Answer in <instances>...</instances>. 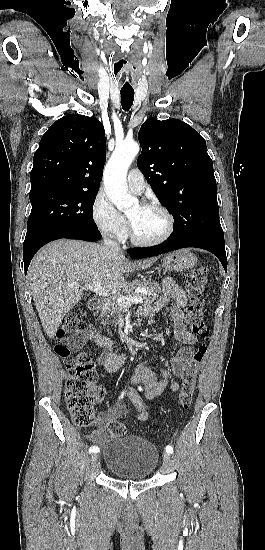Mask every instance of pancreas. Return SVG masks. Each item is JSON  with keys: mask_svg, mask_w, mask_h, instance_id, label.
Wrapping results in <instances>:
<instances>
[{"mask_svg": "<svg viewBox=\"0 0 265 550\" xmlns=\"http://www.w3.org/2000/svg\"><path fill=\"white\" fill-rule=\"evenodd\" d=\"M136 288H143L147 291V294H140V297L145 300L146 304L153 303L159 297L160 286L156 281L135 280L123 288L121 294L114 295L105 300L99 315L101 318L105 319V323H109L110 318L116 319L123 311V307L117 304L116 299L118 297L132 296Z\"/></svg>", "mask_w": 265, "mask_h": 550, "instance_id": "pancreas-1", "label": "pancreas"}]
</instances>
